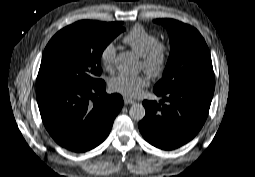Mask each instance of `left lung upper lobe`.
<instances>
[{
    "instance_id": "obj_1",
    "label": "left lung upper lobe",
    "mask_w": 255,
    "mask_h": 177,
    "mask_svg": "<svg viewBox=\"0 0 255 177\" xmlns=\"http://www.w3.org/2000/svg\"><path fill=\"white\" fill-rule=\"evenodd\" d=\"M170 36V55L162 79L154 91L166 93L186 84L214 83L209 49L201 34L193 27L173 19H156Z\"/></svg>"
}]
</instances>
